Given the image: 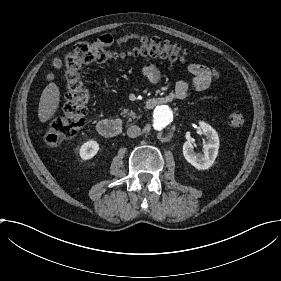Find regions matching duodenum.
Segmentation results:
<instances>
[{
  "label": "duodenum",
  "mask_w": 281,
  "mask_h": 281,
  "mask_svg": "<svg viewBox=\"0 0 281 281\" xmlns=\"http://www.w3.org/2000/svg\"><path fill=\"white\" fill-rule=\"evenodd\" d=\"M169 102L167 97L157 96L151 97L145 101V107L152 109L158 105H163ZM97 130L105 137H115L122 131V123L116 119H103L98 122Z\"/></svg>",
  "instance_id": "1"
}]
</instances>
